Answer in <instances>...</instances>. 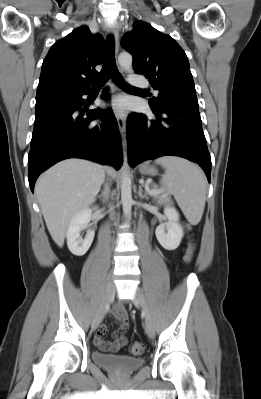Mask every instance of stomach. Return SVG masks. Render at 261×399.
Instances as JSON below:
<instances>
[{
  "label": "stomach",
  "instance_id": "stomach-1",
  "mask_svg": "<svg viewBox=\"0 0 261 399\" xmlns=\"http://www.w3.org/2000/svg\"><path fill=\"white\" fill-rule=\"evenodd\" d=\"M140 171L143 174H149V175H155L157 173L156 168L153 166H149V165L142 166Z\"/></svg>",
  "mask_w": 261,
  "mask_h": 399
}]
</instances>
